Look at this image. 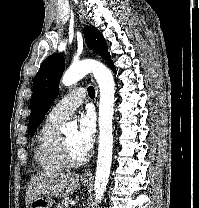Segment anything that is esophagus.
Here are the masks:
<instances>
[{"label": "esophagus", "mask_w": 199, "mask_h": 208, "mask_svg": "<svg viewBox=\"0 0 199 208\" xmlns=\"http://www.w3.org/2000/svg\"><path fill=\"white\" fill-rule=\"evenodd\" d=\"M91 79L94 81L93 77H91ZM98 94V91H97ZM92 177V168L89 167L81 176V178L83 179H87V178H91Z\"/></svg>", "instance_id": "esophagus-1"}]
</instances>
